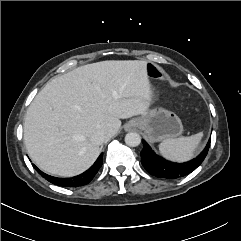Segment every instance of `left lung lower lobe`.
<instances>
[{
  "label": "left lung lower lobe",
  "mask_w": 241,
  "mask_h": 241,
  "mask_svg": "<svg viewBox=\"0 0 241 241\" xmlns=\"http://www.w3.org/2000/svg\"><path fill=\"white\" fill-rule=\"evenodd\" d=\"M210 141L211 139L196 158L184 163H174L156 155L150 146L142 140L141 163L149 174L156 177L169 179L183 177L194 171L203 162L208 153Z\"/></svg>",
  "instance_id": "1"
}]
</instances>
